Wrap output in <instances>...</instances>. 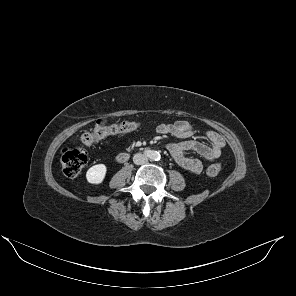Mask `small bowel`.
Returning <instances> with one entry per match:
<instances>
[{"instance_id": "obj_1", "label": "small bowel", "mask_w": 296, "mask_h": 296, "mask_svg": "<svg viewBox=\"0 0 296 296\" xmlns=\"http://www.w3.org/2000/svg\"><path fill=\"white\" fill-rule=\"evenodd\" d=\"M156 132L184 139L182 142L168 144L167 149L176 165L193 174L202 171L204 162L210 163L219 158L224 147L223 138L214 131L206 132L208 145L191 139L195 130L186 120L159 124ZM187 151L195 152L197 157L186 155Z\"/></svg>"}]
</instances>
